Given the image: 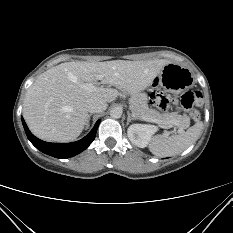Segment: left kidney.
<instances>
[{"label":"left kidney","instance_id":"obj_1","mask_svg":"<svg viewBox=\"0 0 233 233\" xmlns=\"http://www.w3.org/2000/svg\"><path fill=\"white\" fill-rule=\"evenodd\" d=\"M157 127L147 124H132L127 130V135L132 144L144 148L148 145Z\"/></svg>","mask_w":233,"mask_h":233}]
</instances>
